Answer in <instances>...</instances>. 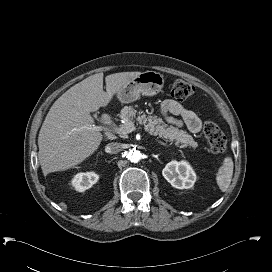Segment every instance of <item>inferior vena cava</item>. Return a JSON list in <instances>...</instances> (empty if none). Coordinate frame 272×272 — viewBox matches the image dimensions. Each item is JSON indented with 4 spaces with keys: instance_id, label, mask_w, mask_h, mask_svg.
<instances>
[{
    "instance_id": "602c4592",
    "label": "inferior vena cava",
    "mask_w": 272,
    "mask_h": 272,
    "mask_svg": "<svg viewBox=\"0 0 272 272\" xmlns=\"http://www.w3.org/2000/svg\"><path fill=\"white\" fill-rule=\"evenodd\" d=\"M105 150L108 153L116 154L122 150V146L120 143L112 142V143L107 144Z\"/></svg>"
}]
</instances>
